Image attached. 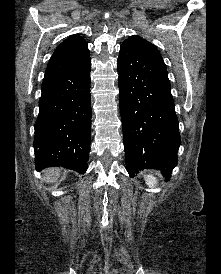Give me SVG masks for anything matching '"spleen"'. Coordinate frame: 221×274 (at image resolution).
I'll use <instances>...</instances> for the list:
<instances>
[{
  "label": "spleen",
  "instance_id": "spleen-1",
  "mask_svg": "<svg viewBox=\"0 0 221 274\" xmlns=\"http://www.w3.org/2000/svg\"><path fill=\"white\" fill-rule=\"evenodd\" d=\"M145 181L149 187H155L157 185V179L153 175H147Z\"/></svg>",
  "mask_w": 221,
  "mask_h": 274
}]
</instances>
